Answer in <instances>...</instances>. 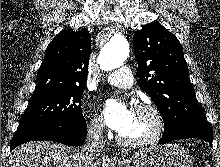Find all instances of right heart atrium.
I'll use <instances>...</instances> for the list:
<instances>
[{
  "instance_id": "d8ad5b80",
  "label": "right heart atrium",
  "mask_w": 220,
  "mask_h": 167,
  "mask_svg": "<svg viewBox=\"0 0 220 167\" xmlns=\"http://www.w3.org/2000/svg\"><path fill=\"white\" fill-rule=\"evenodd\" d=\"M104 129V124L97 114H93L87 123V130L91 135H101Z\"/></svg>"
}]
</instances>
